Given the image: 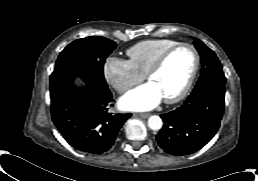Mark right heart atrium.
Returning a JSON list of instances; mask_svg holds the SVG:
<instances>
[{
  "mask_svg": "<svg viewBox=\"0 0 258 181\" xmlns=\"http://www.w3.org/2000/svg\"><path fill=\"white\" fill-rule=\"evenodd\" d=\"M106 82L120 93L143 81L144 75L134 69L128 60L118 57H107L103 65Z\"/></svg>",
  "mask_w": 258,
  "mask_h": 181,
  "instance_id": "obj_1",
  "label": "right heart atrium"
}]
</instances>
